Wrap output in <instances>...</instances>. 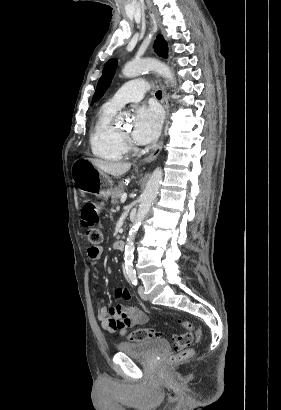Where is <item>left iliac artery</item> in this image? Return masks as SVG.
Returning <instances> with one entry per match:
<instances>
[{"instance_id": "left-iliac-artery-1", "label": "left iliac artery", "mask_w": 281, "mask_h": 410, "mask_svg": "<svg viewBox=\"0 0 281 410\" xmlns=\"http://www.w3.org/2000/svg\"><path fill=\"white\" fill-rule=\"evenodd\" d=\"M128 277L130 279V281L132 282L133 285H137L138 284V280H137V276L135 272H130L128 273Z\"/></svg>"}]
</instances>
